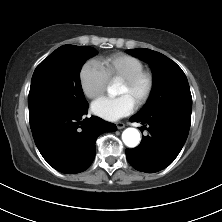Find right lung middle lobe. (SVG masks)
<instances>
[{
  "label": "right lung middle lobe",
  "instance_id": "1",
  "mask_svg": "<svg viewBox=\"0 0 222 222\" xmlns=\"http://www.w3.org/2000/svg\"><path fill=\"white\" fill-rule=\"evenodd\" d=\"M96 54L93 47L64 45L44 59L32 76L29 116L44 111H79L88 107L79 73L85 61Z\"/></svg>",
  "mask_w": 222,
  "mask_h": 222
}]
</instances>
